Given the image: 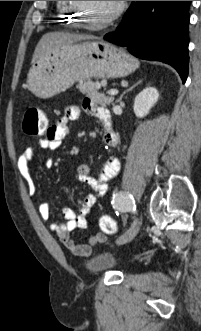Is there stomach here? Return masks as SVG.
<instances>
[{"label":"stomach","instance_id":"stomach-1","mask_svg":"<svg viewBox=\"0 0 201 331\" xmlns=\"http://www.w3.org/2000/svg\"><path fill=\"white\" fill-rule=\"evenodd\" d=\"M139 67L136 58L102 40L64 44L38 59L28 74L30 90L53 97L77 80L125 77Z\"/></svg>","mask_w":201,"mask_h":331}]
</instances>
